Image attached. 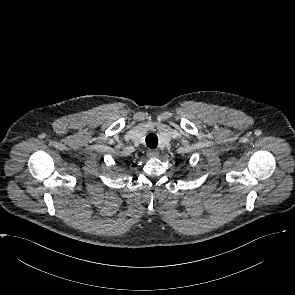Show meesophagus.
Masks as SVG:
<instances>
[{
	"label": "esophagus",
	"mask_w": 295,
	"mask_h": 295,
	"mask_svg": "<svg viewBox=\"0 0 295 295\" xmlns=\"http://www.w3.org/2000/svg\"><path fill=\"white\" fill-rule=\"evenodd\" d=\"M147 156L149 158H157L159 156V152H158V150L151 149L147 152Z\"/></svg>",
	"instance_id": "1"
}]
</instances>
